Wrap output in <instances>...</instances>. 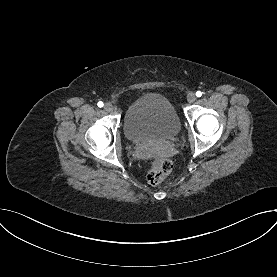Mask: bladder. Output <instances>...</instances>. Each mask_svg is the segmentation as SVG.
Returning a JSON list of instances; mask_svg holds the SVG:
<instances>
[{"label":"bladder","mask_w":277,"mask_h":277,"mask_svg":"<svg viewBox=\"0 0 277 277\" xmlns=\"http://www.w3.org/2000/svg\"><path fill=\"white\" fill-rule=\"evenodd\" d=\"M180 130L181 122L173 104L158 93L138 97L125 112L124 133L134 143L169 140Z\"/></svg>","instance_id":"1"}]
</instances>
